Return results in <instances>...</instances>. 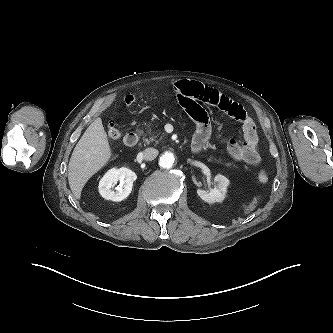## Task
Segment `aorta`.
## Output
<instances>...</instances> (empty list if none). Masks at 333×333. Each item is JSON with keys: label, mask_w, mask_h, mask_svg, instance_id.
<instances>
[{"label": "aorta", "mask_w": 333, "mask_h": 333, "mask_svg": "<svg viewBox=\"0 0 333 333\" xmlns=\"http://www.w3.org/2000/svg\"><path fill=\"white\" fill-rule=\"evenodd\" d=\"M175 162V156L172 152H165L159 159V166L164 169H169L173 166Z\"/></svg>", "instance_id": "aorta-1"}]
</instances>
